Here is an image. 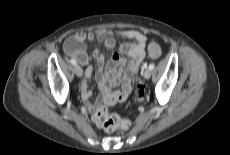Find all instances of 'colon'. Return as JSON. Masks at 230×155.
<instances>
[{
	"instance_id": "colon-1",
	"label": "colon",
	"mask_w": 230,
	"mask_h": 155,
	"mask_svg": "<svg viewBox=\"0 0 230 155\" xmlns=\"http://www.w3.org/2000/svg\"><path fill=\"white\" fill-rule=\"evenodd\" d=\"M148 52L151 58H158L160 55V46L153 41L148 46ZM136 94L138 99H142L144 95V87L141 84L136 85ZM115 98V97H114ZM94 122L102 127L106 132H113L118 128L128 129L130 121L120 118L115 114H110L105 107L99 106L95 109L93 114Z\"/></svg>"
}]
</instances>
